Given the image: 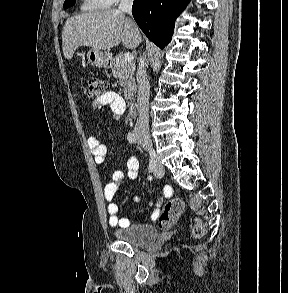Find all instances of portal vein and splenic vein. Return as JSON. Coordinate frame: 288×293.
I'll return each instance as SVG.
<instances>
[{
    "label": "portal vein and splenic vein",
    "mask_w": 288,
    "mask_h": 293,
    "mask_svg": "<svg viewBox=\"0 0 288 293\" xmlns=\"http://www.w3.org/2000/svg\"><path fill=\"white\" fill-rule=\"evenodd\" d=\"M122 58H123V61L129 62V63L132 62L133 59H134V57H133V55L131 53H124L122 55Z\"/></svg>",
    "instance_id": "portal-vein-and-splenic-vein-1"
}]
</instances>
